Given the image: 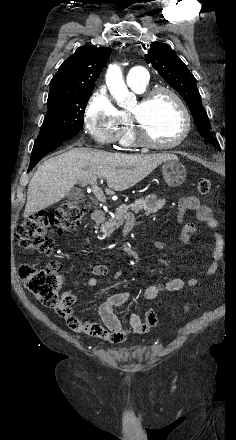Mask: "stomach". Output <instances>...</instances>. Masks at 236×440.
I'll use <instances>...</instances> for the list:
<instances>
[{
  "instance_id": "0dacf381",
  "label": "stomach",
  "mask_w": 236,
  "mask_h": 440,
  "mask_svg": "<svg viewBox=\"0 0 236 440\" xmlns=\"http://www.w3.org/2000/svg\"><path fill=\"white\" fill-rule=\"evenodd\" d=\"M163 178L170 187L180 186L186 178V169L177 159H170L161 167Z\"/></svg>"
}]
</instances>
